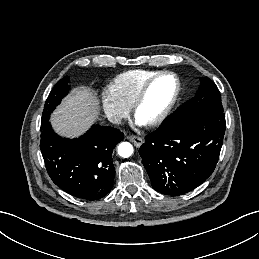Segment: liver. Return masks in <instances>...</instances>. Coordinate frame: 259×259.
Instances as JSON below:
<instances>
[{"mask_svg": "<svg viewBox=\"0 0 259 259\" xmlns=\"http://www.w3.org/2000/svg\"><path fill=\"white\" fill-rule=\"evenodd\" d=\"M99 101L87 87L75 88L52 115L54 130L73 138L84 133L98 118Z\"/></svg>", "mask_w": 259, "mask_h": 259, "instance_id": "1", "label": "liver"}]
</instances>
